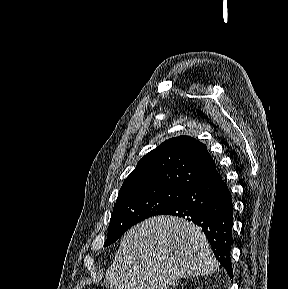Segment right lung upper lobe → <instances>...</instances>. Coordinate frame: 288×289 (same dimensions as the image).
<instances>
[{"label":"right lung upper lobe","instance_id":"cb5924a9","mask_svg":"<svg viewBox=\"0 0 288 289\" xmlns=\"http://www.w3.org/2000/svg\"><path fill=\"white\" fill-rule=\"evenodd\" d=\"M215 166L200 141L189 136L171 138L138 162L119 193L155 187L186 190Z\"/></svg>","mask_w":288,"mask_h":289}]
</instances>
